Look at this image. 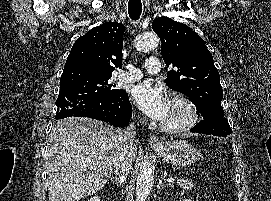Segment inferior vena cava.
<instances>
[{
    "instance_id": "1",
    "label": "inferior vena cava",
    "mask_w": 271,
    "mask_h": 201,
    "mask_svg": "<svg viewBox=\"0 0 271 201\" xmlns=\"http://www.w3.org/2000/svg\"><path fill=\"white\" fill-rule=\"evenodd\" d=\"M135 134L136 127L134 124L116 130L115 141L118 144V150L114 158V172L116 182L120 185L126 181L131 169Z\"/></svg>"
}]
</instances>
